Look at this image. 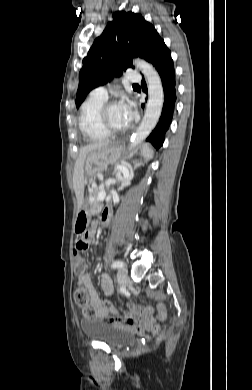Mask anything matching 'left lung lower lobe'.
Listing matches in <instances>:
<instances>
[{"label":"left lung lower lobe","mask_w":252,"mask_h":390,"mask_svg":"<svg viewBox=\"0 0 252 390\" xmlns=\"http://www.w3.org/2000/svg\"><path fill=\"white\" fill-rule=\"evenodd\" d=\"M149 62L159 73L164 91V102L159 122L147 138V141L158 149L162 146L165 133L169 129L176 102V74L174 64L170 50L163 40L156 46ZM141 84L143 91L146 93L147 86L144 80H142Z\"/></svg>","instance_id":"obj_1"}]
</instances>
